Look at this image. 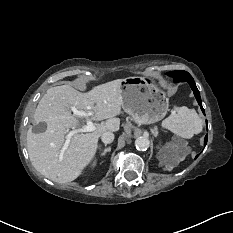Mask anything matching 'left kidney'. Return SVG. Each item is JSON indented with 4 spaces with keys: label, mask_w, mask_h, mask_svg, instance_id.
<instances>
[{
    "label": "left kidney",
    "mask_w": 233,
    "mask_h": 233,
    "mask_svg": "<svg viewBox=\"0 0 233 233\" xmlns=\"http://www.w3.org/2000/svg\"><path fill=\"white\" fill-rule=\"evenodd\" d=\"M171 152L172 151H171L170 148H166L165 153H166L167 156H170Z\"/></svg>",
    "instance_id": "left-kidney-1"
}]
</instances>
